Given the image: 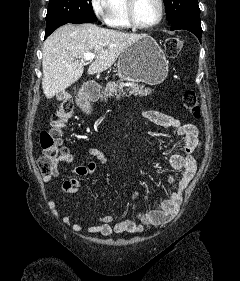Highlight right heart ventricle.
I'll return each instance as SVG.
<instances>
[{"label": "right heart ventricle", "mask_w": 240, "mask_h": 281, "mask_svg": "<svg viewBox=\"0 0 240 281\" xmlns=\"http://www.w3.org/2000/svg\"><path fill=\"white\" fill-rule=\"evenodd\" d=\"M110 15L107 24L110 27L117 29H128L130 24L127 16V2L126 0H111Z\"/></svg>", "instance_id": "e07e8e85"}]
</instances>
